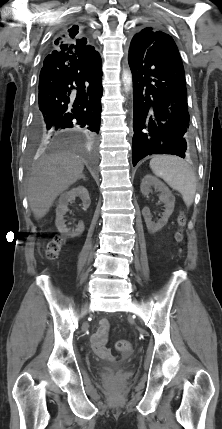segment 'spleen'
Masks as SVG:
<instances>
[{
	"mask_svg": "<svg viewBox=\"0 0 222 429\" xmlns=\"http://www.w3.org/2000/svg\"><path fill=\"white\" fill-rule=\"evenodd\" d=\"M153 173L177 190L187 206L193 203L196 193V176L192 168L179 157L156 155L150 161Z\"/></svg>",
	"mask_w": 222,
	"mask_h": 429,
	"instance_id": "obj_1",
	"label": "spleen"
}]
</instances>
